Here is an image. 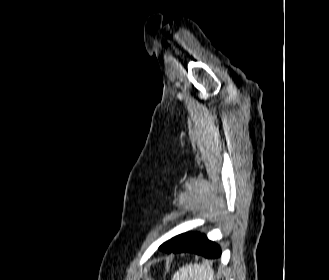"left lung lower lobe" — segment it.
Instances as JSON below:
<instances>
[{
    "label": "left lung lower lobe",
    "instance_id": "left-lung-lower-lobe-1",
    "mask_svg": "<svg viewBox=\"0 0 329 280\" xmlns=\"http://www.w3.org/2000/svg\"><path fill=\"white\" fill-rule=\"evenodd\" d=\"M167 242L160 250L168 253L192 252L206 258H217L221 255L219 246L199 233L181 234Z\"/></svg>",
    "mask_w": 329,
    "mask_h": 280
}]
</instances>
